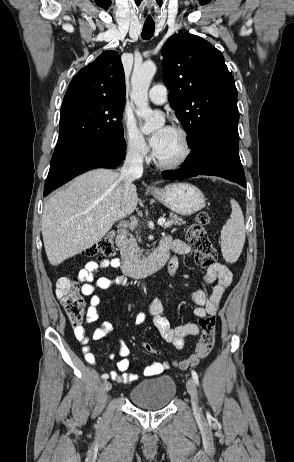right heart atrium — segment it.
Wrapping results in <instances>:
<instances>
[{
    "mask_svg": "<svg viewBox=\"0 0 294 462\" xmlns=\"http://www.w3.org/2000/svg\"><path fill=\"white\" fill-rule=\"evenodd\" d=\"M121 120L127 151L138 159H146L149 148L134 119L129 113L124 112Z\"/></svg>",
    "mask_w": 294,
    "mask_h": 462,
    "instance_id": "d8ad5b80",
    "label": "right heart atrium"
}]
</instances>
